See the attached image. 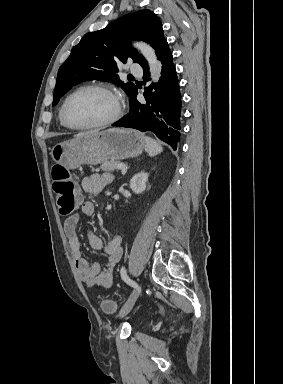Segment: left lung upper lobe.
Wrapping results in <instances>:
<instances>
[{"instance_id":"1","label":"left lung upper lobe","mask_w":283,"mask_h":384,"mask_svg":"<svg viewBox=\"0 0 283 384\" xmlns=\"http://www.w3.org/2000/svg\"><path fill=\"white\" fill-rule=\"evenodd\" d=\"M132 40L150 43L158 55L167 41L162 23L153 11L140 10L125 15L102 30L85 34L58 71L52 105L72 86L94 79L114 82L131 97L136 86L119 79L117 62L126 63L131 58L142 67L147 65L145 58L130 46Z\"/></svg>"}]
</instances>
